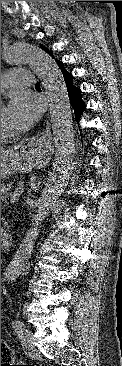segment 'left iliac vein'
<instances>
[{"mask_svg":"<svg viewBox=\"0 0 122 366\" xmlns=\"http://www.w3.org/2000/svg\"><path fill=\"white\" fill-rule=\"evenodd\" d=\"M23 337H24V345L27 349H32L33 347V335L32 332L28 329H24L23 331Z\"/></svg>","mask_w":122,"mask_h":366,"instance_id":"1","label":"left iliac vein"}]
</instances>
